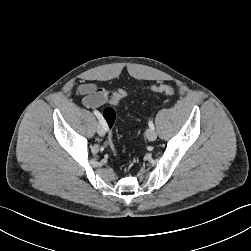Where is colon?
<instances>
[{"instance_id":"colon-1","label":"colon","mask_w":251,"mask_h":251,"mask_svg":"<svg viewBox=\"0 0 251 251\" xmlns=\"http://www.w3.org/2000/svg\"><path fill=\"white\" fill-rule=\"evenodd\" d=\"M153 92L165 95H173L174 88L170 85H158L151 89ZM128 93L124 90H119L113 93L111 103L117 104L122 98L126 97ZM103 117L109 128L108 143L112 150H115V142L113 137V127L116 120V111L113 106H108L103 110Z\"/></svg>"}]
</instances>
